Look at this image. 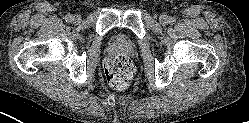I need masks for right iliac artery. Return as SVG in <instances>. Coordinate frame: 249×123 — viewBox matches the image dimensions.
Masks as SVG:
<instances>
[{
  "label": "right iliac artery",
  "instance_id": "obj_1",
  "mask_svg": "<svg viewBox=\"0 0 249 123\" xmlns=\"http://www.w3.org/2000/svg\"><path fill=\"white\" fill-rule=\"evenodd\" d=\"M66 22H72L73 20V15L72 14H67L65 17Z\"/></svg>",
  "mask_w": 249,
  "mask_h": 123
}]
</instances>
